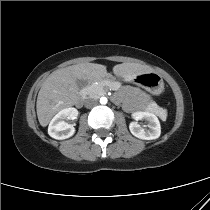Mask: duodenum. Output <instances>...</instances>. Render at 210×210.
I'll list each match as a JSON object with an SVG mask.
<instances>
[{
  "instance_id": "duodenum-1",
  "label": "duodenum",
  "mask_w": 210,
  "mask_h": 210,
  "mask_svg": "<svg viewBox=\"0 0 210 210\" xmlns=\"http://www.w3.org/2000/svg\"><path fill=\"white\" fill-rule=\"evenodd\" d=\"M83 102V94L80 96V98L77 101V106H81Z\"/></svg>"
}]
</instances>
